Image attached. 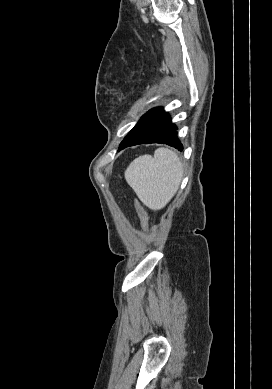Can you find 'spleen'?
Masks as SVG:
<instances>
[{"mask_svg":"<svg viewBox=\"0 0 272 389\" xmlns=\"http://www.w3.org/2000/svg\"><path fill=\"white\" fill-rule=\"evenodd\" d=\"M182 173L178 156L169 149L158 148L154 157L142 155L134 159L125 171V179L144 205L159 210L177 192Z\"/></svg>","mask_w":272,"mask_h":389,"instance_id":"1","label":"spleen"}]
</instances>
